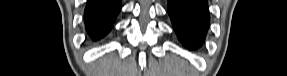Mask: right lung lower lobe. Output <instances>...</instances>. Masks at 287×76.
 I'll return each mask as SVG.
<instances>
[{
  "mask_svg": "<svg viewBox=\"0 0 287 76\" xmlns=\"http://www.w3.org/2000/svg\"><path fill=\"white\" fill-rule=\"evenodd\" d=\"M121 9V0H88L85 9V25L94 39L104 37L112 28Z\"/></svg>",
  "mask_w": 287,
  "mask_h": 76,
  "instance_id": "98d812e1",
  "label": "right lung lower lobe"
}]
</instances>
